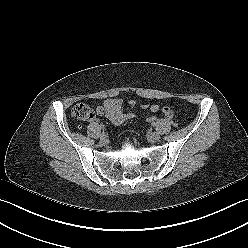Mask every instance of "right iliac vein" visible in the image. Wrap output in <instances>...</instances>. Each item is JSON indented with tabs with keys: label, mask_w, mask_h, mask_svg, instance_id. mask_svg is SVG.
<instances>
[{
	"label": "right iliac vein",
	"mask_w": 248,
	"mask_h": 248,
	"mask_svg": "<svg viewBox=\"0 0 248 248\" xmlns=\"http://www.w3.org/2000/svg\"><path fill=\"white\" fill-rule=\"evenodd\" d=\"M100 140L103 141V142H105L107 140V135L105 133H102L100 135Z\"/></svg>",
	"instance_id": "obj_1"
}]
</instances>
